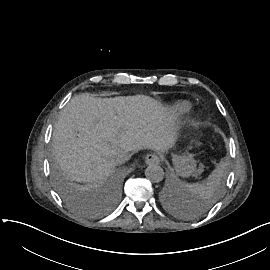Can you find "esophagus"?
<instances>
[{
    "mask_svg": "<svg viewBox=\"0 0 270 270\" xmlns=\"http://www.w3.org/2000/svg\"><path fill=\"white\" fill-rule=\"evenodd\" d=\"M159 162H160V158L155 153L147 154L145 157V163L147 165H157L159 164Z\"/></svg>",
    "mask_w": 270,
    "mask_h": 270,
    "instance_id": "34e87169",
    "label": "esophagus"
}]
</instances>
